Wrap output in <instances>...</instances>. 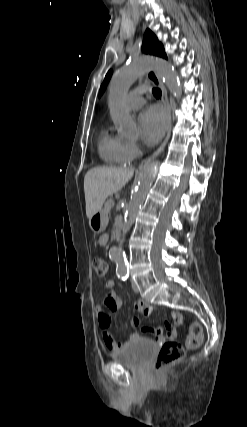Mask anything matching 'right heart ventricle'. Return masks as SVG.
<instances>
[{
	"instance_id": "e07e8e85",
	"label": "right heart ventricle",
	"mask_w": 247,
	"mask_h": 427,
	"mask_svg": "<svg viewBox=\"0 0 247 427\" xmlns=\"http://www.w3.org/2000/svg\"><path fill=\"white\" fill-rule=\"evenodd\" d=\"M127 142L120 136L104 130L99 138L98 151L103 161L109 164H123L130 160Z\"/></svg>"
}]
</instances>
